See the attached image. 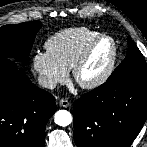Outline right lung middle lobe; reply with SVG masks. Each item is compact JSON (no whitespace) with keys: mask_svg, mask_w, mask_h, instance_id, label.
Here are the masks:
<instances>
[{"mask_svg":"<svg viewBox=\"0 0 147 147\" xmlns=\"http://www.w3.org/2000/svg\"><path fill=\"white\" fill-rule=\"evenodd\" d=\"M42 23L38 21L16 25H5L0 28V59L14 57L27 62L35 39Z\"/></svg>","mask_w":147,"mask_h":147,"instance_id":"1","label":"right lung middle lobe"}]
</instances>
